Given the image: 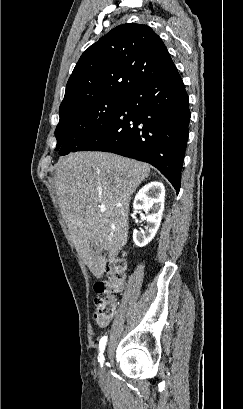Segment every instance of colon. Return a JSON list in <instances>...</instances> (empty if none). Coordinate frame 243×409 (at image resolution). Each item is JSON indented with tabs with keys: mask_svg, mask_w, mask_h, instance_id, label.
<instances>
[{
	"mask_svg": "<svg viewBox=\"0 0 243 409\" xmlns=\"http://www.w3.org/2000/svg\"><path fill=\"white\" fill-rule=\"evenodd\" d=\"M126 271V260L119 255L111 259L107 265L109 279L96 282L94 320L100 326L107 325L115 315L116 304L113 295L121 291Z\"/></svg>",
	"mask_w": 243,
	"mask_h": 409,
	"instance_id": "obj_1",
	"label": "colon"
}]
</instances>
